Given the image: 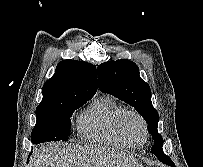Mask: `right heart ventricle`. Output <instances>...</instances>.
<instances>
[{
	"mask_svg": "<svg viewBox=\"0 0 203 167\" xmlns=\"http://www.w3.org/2000/svg\"><path fill=\"white\" fill-rule=\"evenodd\" d=\"M125 108L111 96L96 99L78 118L79 135L89 141L134 148L120 135L117 121Z\"/></svg>",
	"mask_w": 203,
	"mask_h": 167,
	"instance_id": "e07e8e85",
	"label": "right heart ventricle"
}]
</instances>
